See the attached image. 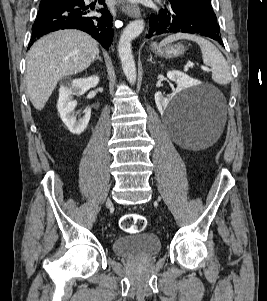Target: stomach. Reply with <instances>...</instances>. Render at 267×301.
<instances>
[{
	"mask_svg": "<svg viewBox=\"0 0 267 301\" xmlns=\"http://www.w3.org/2000/svg\"><path fill=\"white\" fill-rule=\"evenodd\" d=\"M152 50L158 55L167 58H172V57H178L179 55H182L185 51V48L180 44L166 45L164 47L153 45Z\"/></svg>",
	"mask_w": 267,
	"mask_h": 301,
	"instance_id": "0dacf381",
	"label": "stomach"
}]
</instances>
